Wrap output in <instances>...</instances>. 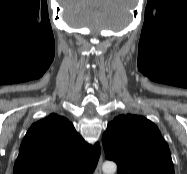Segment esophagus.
Instances as JSON below:
<instances>
[{"label": "esophagus", "instance_id": "esophagus-1", "mask_svg": "<svg viewBox=\"0 0 187 174\" xmlns=\"http://www.w3.org/2000/svg\"><path fill=\"white\" fill-rule=\"evenodd\" d=\"M102 162H103V157L101 155L97 163L96 169L94 171V174H102Z\"/></svg>", "mask_w": 187, "mask_h": 174}]
</instances>
